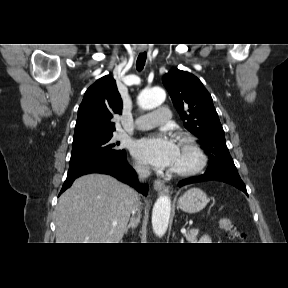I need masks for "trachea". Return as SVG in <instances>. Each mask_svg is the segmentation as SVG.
<instances>
[{"label": "trachea", "mask_w": 288, "mask_h": 288, "mask_svg": "<svg viewBox=\"0 0 288 288\" xmlns=\"http://www.w3.org/2000/svg\"><path fill=\"white\" fill-rule=\"evenodd\" d=\"M145 62H146V52L140 53L136 62V68L138 71H142Z\"/></svg>", "instance_id": "obj_1"}]
</instances>
